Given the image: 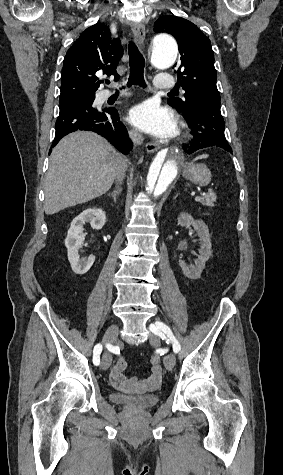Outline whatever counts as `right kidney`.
Instances as JSON below:
<instances>
[{
  "label": "right kidney",
  "instance_id": "obj_1",
  "mask_svg": "<svg viewBox=\"0 0 283 475\" xmlns=\"http://www.w3.org/2000/svg\"><path fill=\"white\" fill-rule=\"evenodd\" d=\"M85 222H89L91 228H94V230H101L106 222L105 212L100 210V208H88V210L81 212V214L76 216L71 222L67 238L65 239V245L68 251V259L75 273H86L95 261V255L81 257L80 259L78 253L85 239V234H83Z\"/></svg>",
  "mask_w": 283,
  "mask_h": 475
}]
</instances>
